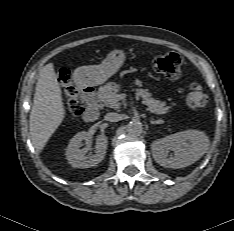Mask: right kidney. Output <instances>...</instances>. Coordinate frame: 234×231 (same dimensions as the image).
<instances>
[{
	"mask_svg": "<svg viewBox=\"0 0 234 231\" xmlns=\"http://www.w3.org/2000/svg\"><path fill=\"white\" fill-rule=\"evenodd\" d=\"M92 135L88 132L82 131L77 133L69 142L66 149V158L74 168H89L99 164L106 154L108 145L107 137L99 135L96 139L95 154L87 157L86 153L89 148L80 149L82 141H89Z\"/></svg>",
	"mask_w": 234,
	"mask_h": 231,
	"instance_id": "obj_1",
	"label": "right kidney"
}]
</instances>
